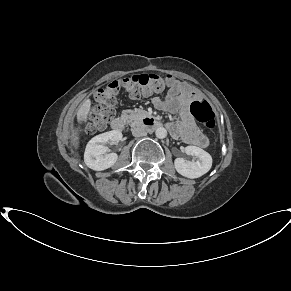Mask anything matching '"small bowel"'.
Returning a JSON list of instances; mask_svg holds the SVG:
<instances>
[{"label": "small bowel", "mask_w": 291, "mask_h": 291, "mask_svg": "<svg viewBox=\"0 0 291 291\" xmlns=\"http://www.w3.org/2000/svg\"><path fill=\"white\" fill-rule=\"evenodd\" d=\"M199 99V94L192 86L183 81L174 80L164 98L153 99L154 106L162 111L180 112V120L167 123L171 135L187 144L206 148L208 139L195 124L190 112L189 105Z\"/></svg>", "instance_id": "obj_1"}]
</instances>
